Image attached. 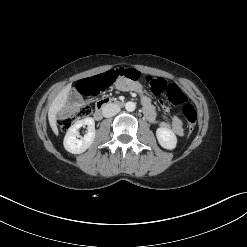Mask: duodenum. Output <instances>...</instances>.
<instances>
[{
	"instance_id": "duodenum-1",
	"label": "duodenum",
	"mask_w": 247,
	"mask_h": 247,
	"mask_svg": "<svg viewBox=\"0 0 247 247\" xmlns=\"http://www.w3.org/2000/svg\"><path fill=\"white\" fill-rule=\"evenodd\" d=\"M124 102L114 98H104L98 101L96 109L94 111V118L100 120L103 117L104 111L109 107H121Z\"/></svg>"
}]
</instances>
